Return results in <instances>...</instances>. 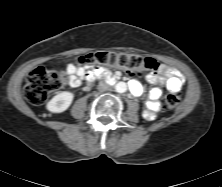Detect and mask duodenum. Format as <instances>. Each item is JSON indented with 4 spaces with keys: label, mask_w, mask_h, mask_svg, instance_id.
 <instances>
[{
    "label": "duodenum",
    "mask_w": 222,
    "mask_h": 187,
    "mask_svg": "<svg viewBox=\"0 0 222 187\" xmlns=\"http://www.w3.org/2000/svg\"><path fill=\"white\" fill-rule=\"evenodd\" d=\"M102 75H105L106 80L111 83L117 81V79H118L117 76L109 74L106 71H95V72L89 74L88 78L90 80H92V79H95V78L102 76Z\"/></svg>",
    "instance_id": "1"
}]
</instances>
